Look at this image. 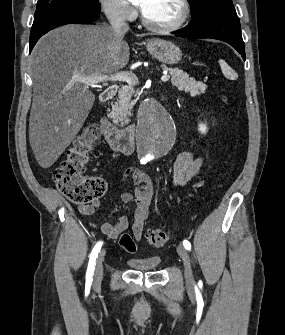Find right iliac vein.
Returning <instances> with one entry per match:
<instances>
[{"label":"right iliac vein","instance_id":"obj_1","mask_svg":"<svg viewBox=\"0 0 285 335\" xmlns=\"http://www.w3.org/2000/svg\"><path fill=\"white\" fill-rule=\"evenodd\" d=\"M105 253L102 252L97 260L95 273H94V285H99L103 278V260Z\"/></svg>","mask_w":285,"mask_h":335}]
</instances>
